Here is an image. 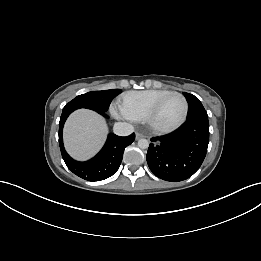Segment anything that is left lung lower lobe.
<instances>
[{
    "mask_svg": "<svg viewBox=\"0 0 261 261\" xmlns=\"http://www.w3.org/2000/svg\"><path fill=\"white\" fill-rule=\"evenodd\" d=\"M147 152L150 170L159 178L178 182L191 177L201 166L209 143L207 116L187 120L175 132L151 139Z\"/></svg>",
    "mask_w": 261,
    "mask_h": 261,
    "instance_id": "1",
    "label": "left lung lower lobe"
}]
</instances>
